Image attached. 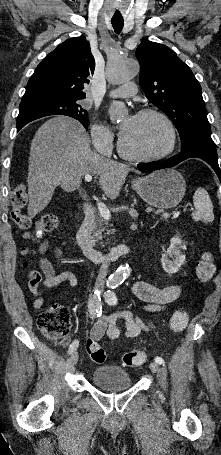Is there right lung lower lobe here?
Returning a JSON list of instances; mask_svg holds the SVG:
<instances>
[{
    "mask_svg": "<svg viewBox=\"0 0 221 455\" xmlns=\"http://www.w3.org/2000/svg\"><path fill=\"white\" fill-rule=\"evenodd\" d=\"M25 126V125H24ZM22 127L17 128V131H19Z\"/></svg>",
    "mask_w": 221,
    "mask_h": 455,
    "instance_id": "1",
    "label": "right lung lower lobe"
}]
</instances>
